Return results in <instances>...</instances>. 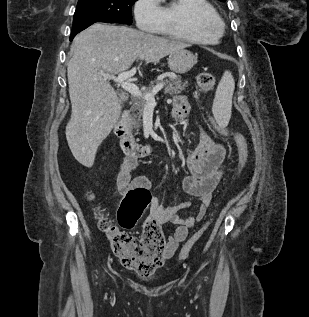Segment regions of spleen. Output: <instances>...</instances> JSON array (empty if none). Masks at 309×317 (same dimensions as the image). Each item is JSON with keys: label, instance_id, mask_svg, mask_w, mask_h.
<instances>
[{"label": "spleen", "instance_id": "spleen-1", "mask_svg": "<svg viewBox=\"0 0 309 317\" xmlns=\"http://www.w3.org/2000/svg\"><path fill=\"white\" fill-rule=\"evenodd\" d=\"M234 89V78L230 71H225L218 84L213 102L214 117L222 127L227 126L231 118Z\"/></svg>", "mask_w": 309, "mask_h": 317}]
</instances>
